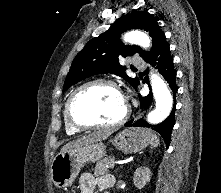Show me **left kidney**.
<instances>
[{
    "label": "left kidney",
    "mask_w": 221,
    "mask_h": 193,
    "mask_svg": "<svg viewBox=\"0 0 221 193\" xmlns=\"http://www.w3.org/2000/svg\"><path fill=\"white\" fill-rule=\"evenodd\" d=\"M151 171L148 167H139L133 176V183L136 188L142 189L150 181Z\"/></svg>",
    "instance_id": "1"
}]
</instances>
